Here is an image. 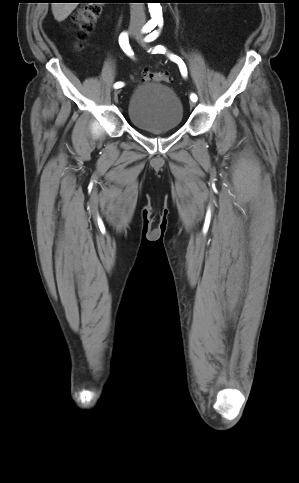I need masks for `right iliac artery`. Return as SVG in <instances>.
I'll list each match as a JSON object with an SVG mask.
<instances>
[{
  "label": "right iliac artery",
  "instance_id": "1",
  "mask_svg": "<svg viewBox=\"0 0 299 483\" xmlns=\"http://www.w3.org/2000/svg\"><path fill=\"white\" fill-rule=\"evenodd\" d=\"M156 23H150L148 25H146L142 31L144 33H147V32H150L151 30H153L155 27H156ZM119 44L122 48V50L130 57H133L134 55V52L131 50V47L129 45V40H128V35L127 33L123 32L121 33V35L119 36ZM124 86V83L123 82H116L115 85H114V88L118 89V88H121Z\"/></svg>",
  "mask_w": 299,
  "mask_h": 483
}]
</instances>
